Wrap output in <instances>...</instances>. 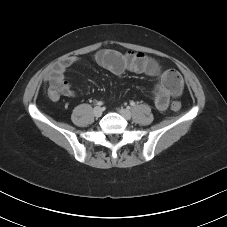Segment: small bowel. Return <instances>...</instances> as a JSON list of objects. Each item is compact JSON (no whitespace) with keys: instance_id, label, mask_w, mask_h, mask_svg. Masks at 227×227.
Listing matches in <instances>:
<instances>
[{"instance_id":"1","label":"small bowel","mask_w":227,"mask_h":227,"mask_svg":"<svg viewBox=\"0 0 227 227\" xmlns=\"http://www.w3.org/2000/svg\"><path fill=\"white\" fill-rule=\"evenodd\" d=\"M94 60L99 66L116 75L131 71L152 77H161V82L154 88V104L159 111H165L168 108L170 98L181 93L182 82H168L164 78L160 64L144 53H122L113 49H102L95 54ZM76 61V58H69L46 73L45 80L50 85L49 96L51 99L57 100L60 96L74 97L76 95L71 83L65 79L67 68Z\"/></svg>"}]
</instances>
